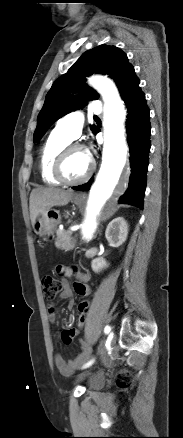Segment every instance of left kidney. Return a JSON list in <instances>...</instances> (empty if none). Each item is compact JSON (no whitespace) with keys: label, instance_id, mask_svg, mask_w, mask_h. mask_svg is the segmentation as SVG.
Returning a JSON list of instances; mask_svg holds the SVG:
<instances>
[{"label":"left kidney","instance_id":"5707ae66","mask_svg":"<svg viewBox=\"0 0 183 438\" xmlns=\"http://www.w3.org/2000/svg\"><path fill=\"white\" fill-rule=\"evenodd\" d=\"M128 224L123 217L113 219L107 226L105 237L107 241L114 247L121 246L127 239ZM108 263L103 258H95L91 262L92 270L99 273L108 267Z\"/></svg>","mask_w":183,"mask_h":438}]
</instances>
